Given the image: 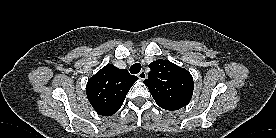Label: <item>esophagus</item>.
I'll return each instance as SVG.
<instances>
[{"mask_svg":"<svg viewBox=\"0 0 276 138\" xmlns=\"http://www.w3.org/2000/svg\"><path fill=\"white\" fill-rule=\"evenodd\" d=\"M146 77H147V74L145 73V71H141V72L138 74V78H139L140 80H144V79H146Z\"/></svg>","mask_w":276,"mask_h":138,"instance_id":"34e87169","label":"esophagus"}]
</instances>
